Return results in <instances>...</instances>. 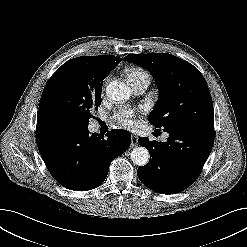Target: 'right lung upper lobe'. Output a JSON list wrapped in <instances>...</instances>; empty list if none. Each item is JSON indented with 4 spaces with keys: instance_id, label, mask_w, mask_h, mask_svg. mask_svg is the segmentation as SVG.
Wrapping results in <instances>:
<instances>
[{
    "instance_id": "1",
    "label": "right lung upper lobe",
    "mask_w": 247,
    "mask_h": 247,
    "mask_svg": "<svg viewBox=\"0 0 247 247\" xmlns=\"http://www.w3.org/2000/svg\"><path fill=\"white\" fill-rule=\"evenodd\" d=\"M91 72L96 76L105 79L111 70L121 62L120 58L113 55L82 56L78 57Z\"/></svg>"
}]
</instances>
